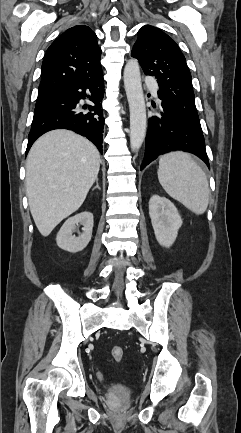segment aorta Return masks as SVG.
Wrapping results in <instances>:
<instances>
[{
	"label": "aorta",
	"instance_id": "1",
	"mask_svg": "<svg viewBox=\"0 0 241 433\" xmlns=\"http://www.w3.org/2000/svg\"><path fill=\"white\" fill-rule=\"evenodd\" d=\"M123 77L130 109V146L137 151L145 138L147 118L140 67L136 59L126 63Z\"/></svg>",
	"mask_w": 241,
	"mask_h": 433
}]
</instances>
